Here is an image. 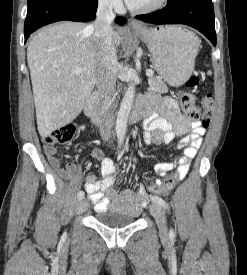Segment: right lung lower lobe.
Returning a JSON list of instances; mask_svg holds the SVG:
<instances>
[{
    "instance_id": "right-lung-lower-lobe-1",
    "label": "right lung lower lobe",
    "mask_w": 247,
    "mask_h": 275,
    "mask_svg": "<svg viewBox=\"0 0 247 275\" xmlns=\"http://www.w3.org/2000/svg\"><path fill=\"white\" fill-rule=\"evenodd\" d=\"M98 0H28L24 24L25 42L40 27L62 20L88 22L95 19ZM116 22L125 24L123 17Z\"/></svg>"
}]
</instances>
